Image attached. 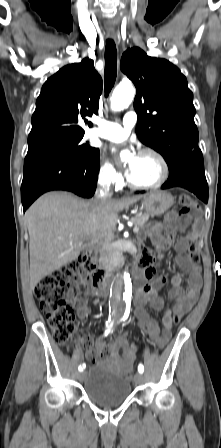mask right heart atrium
<instances>
[{"instance_id": "right-heart-atrium-1", "label": "right heart atrium", "mask_w": 221, "mask_h": 448, "mask_svg": "<svg viewBox=\"0 0 221 448\" xmlns=\"http://www.w3.org/2000/svg\"><path fill=\"white\" fill-rule=\"evenodd\" d=\"M98 180L104 186L116 187L121 183L122 176L113 163L102 160L99 166Z\"/></svg>"}]
</instances>
